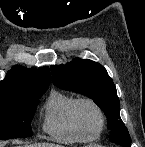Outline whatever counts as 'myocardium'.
Instances as JSON below:
<instances>
[{
	"mask_svg": "<svg viewBox=\"0 0 145 147\" xmlns=\"http://www.w3.org/2000/svg\"><path fill=\"white\" fill-rule=\"evenodd\" d=\"M91 107L97 114L98 119H99V127L98 130L94 133L95 135L99 136L106 125V116L101 108V106L93 99L91 98H79L76 107H75V120L77 122L78 127L80 130L83 132H88V128L86 127L84 120H83V115H82V110L84 107Z\"/></svg>",
	"mask_w": 145,
	"mask_h": 147,
	"instance_id": "obj_1",
	"label": "myocardium"
}]
</instances>
